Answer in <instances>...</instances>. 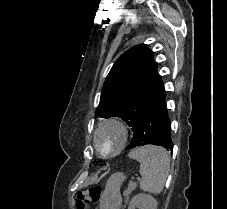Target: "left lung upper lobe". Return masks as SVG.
I'll return each mask as SVG.
<instances>
[{"instance_id": "left-lung-upper-lobe-1", "label": "left lung upper lobe", "mask_w": 227, "mask_h": 209, "mask_svg": "<svg viewBox=\"0 0 227 209\" xmlns=\"http://www.w3.org/2000/svg\"><path fill=\"white\" fill-rule=\"evenodd\" d=\"M164 91L153 52L145 44L134 46L111 68L95 116L119 117L134 133L144 112Z\"/></svg>"}]
</instances>
